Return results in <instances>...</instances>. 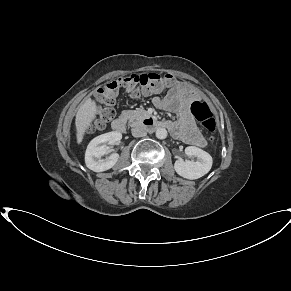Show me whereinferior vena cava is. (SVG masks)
Wrapping results in <instances>:
<instances>
[{"instance_id": "inferior-vena-cava-1", "label": "inferior vena cava", "mask_w": 291, "mask_h": 291, "mask_svg": "<svg viewBox=\"0 0 291 291\" xmlns=\"http://www.w3.org/2000/svg\"><path fill=\"white\" fill-rule=\"evenodd\" d=\"M132 135L134 137H143L147 135V129L143 125L136 126L132 129Z\"/></svg>"}]
</instances>
